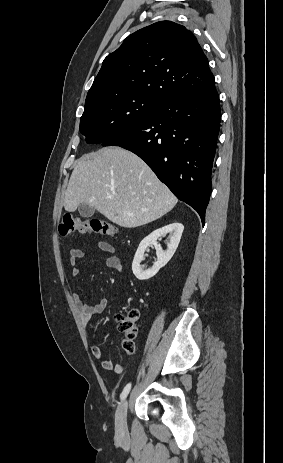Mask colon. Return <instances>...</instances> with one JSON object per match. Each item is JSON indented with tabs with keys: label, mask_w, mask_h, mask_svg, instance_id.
<instances>
[{
	"label": "colon",
	"mask_w": 283,
	"mask_h": 463,
	"mask_svg": "<svg viewBox=\"0 0 283 463\" xmlns=\"http://www.w3.org/2000/svg\"><path fill=\"white\" fill-rule=\"evenodd\" d=\"M62 235H69L74 232L79 233H98L108 237L117 234V228L112 223L97 217L79 218L69 214L62 217L59 225ZM140 313L137 309H131L124 315H118L116 321L118 328L123 335V348L128 354L134 352L133 340L137 335V322Z\"/></svg>",
	"instance_id": "1"
}]
</instances>
